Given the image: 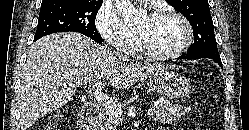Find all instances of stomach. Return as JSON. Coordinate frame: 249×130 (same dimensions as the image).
Returning a JSON list of instances; mask_svg holds the SVG:
<instances>
[{
    "label": "stomach",
    "instance_id": "stomach-1",
    "mask_svg": "<svg viewBox=\"0 0 249 130\" xmlns=\"http://www.w3.org/2000/svg\"><path fill=\"white\" fill-rule=\"evenodd\" d=\"M155 91L168 98H181L190 91L191 84L189 79L176 71H163L148 81Z\"/></svg>",
    "mask_w": 249,
    "mask_h": 130
}]
</instances>
